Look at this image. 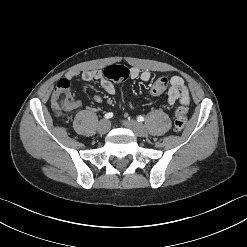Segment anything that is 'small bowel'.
Wrapping results in <instances>:
<instances>
[{
    "instance_id": "obj_1",
    "label": "small bowel",
    "mask_w": 247,
    "mask_h": 247,
    "mask_svg": "<svg viewBox=\"0 0 247 247\" xmlns=\"http://www.w3.org/2000/svg\"><path fill=\"white\" fill-rule=\"evenodd\" d=\"M76 77H80L85 82L99 81L102 88L110 95L115 93L114 84L106 79L103 72L100 70H87L83 72L71 71L65 78L59 82H64L70 86V81ZM131 79H140L143 82H148L151 79V72L148 70L141 71L136 67L130 69ZM170 87L168 89V104L174 105L176 102L181 103L184 106L189 105L190 97L188 89L185 85L184 80L177 75H174L169 80ZM96 102H101L102 98L99 95L94 96ZM82 105L80 100H76L73 103V108H78Z\"/></svg>"
}]
</instances>
